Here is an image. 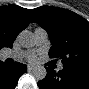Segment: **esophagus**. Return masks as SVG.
Masks as SVG:
<instances>
[{"label":"esophagus","instance_id":"1","mask_svg":"<svg viewBox=\"0 0 89 89\" xmlns=\"http://www.w3.org/2000/svg\"><path fill=\"white\" fill-rule=\"evenodd\" d=\"M32 66L31 65H28V71L30 72V71H32Z\"/></svg>","mask_w":89,"mask_h":89}]
</instances>
